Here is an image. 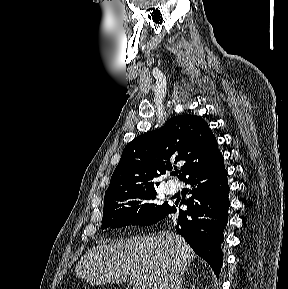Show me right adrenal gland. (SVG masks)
<instances>
[{
    "instance_id": "obj_1",
    "label": "right adrenal gland",
    "mask_w": 288,
    "mask_h": 289,
    "mask_svg": "<svg viewBox=\"0 0 288 289\" xmlns=\"http://www.w3.org/2000/svg\"><path fill=\"white\" fill-rule=\"evenodd\" d=\"M183 279H184V272H182L180 275V281H179L178 289H185V287L183 286Z\"/></svg>"
}]
</instances>
